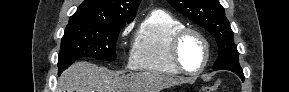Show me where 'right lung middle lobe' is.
<instances>
[{"instance_id": "1", "label": "right lung middle lobe", "mask_w": 289, "mask_h": 92, "mask_svg": "<svg viewBox=\"0 0 289 92\" xmlns=\"http://www.w3.org/2000/svg\"><path fill=\"white\" fill-rule=\"evenodd\" d=\"M125 25L68 23L61 40L59 74L84 56L114 61L118 34Z\"/></svg>"}]
</instances>
